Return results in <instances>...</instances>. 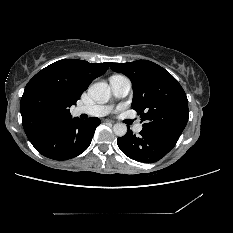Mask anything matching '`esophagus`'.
Instances as JSON below:
<instances>
[{
  "instance_id": "esophagus-1",
  "label": "esophagus",
  "mask_w": 233,
  "mask_h": 233,
  "mask_svg": "<svg viewBox=\"0 0 233 233\" xmlns=\"http://www.w3.org/2000/svg\"><path fill=\"white\" fill-rule=\"evenodd\" d=\"M105 122L112 123V124L114 123V121L110 119H106Z\"/></svg>"
}]
</instances>
